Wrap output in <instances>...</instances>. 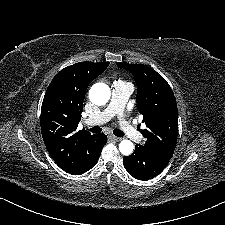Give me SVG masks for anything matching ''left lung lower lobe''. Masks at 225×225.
I'll return each mask as SVG.
<instances>
[{
	"instance_id": "left-lung-lower-lobe-1",
	"label": "left lung lower lobe",
	"mask_w": 225,
	"mask_h": 225,
	"mask_svg": "<svg viewBox=\"0 0 225 225\" xmlns=\"http://www.w3.org/2000/svg\"><path fill=\"white\" fill-rule=\"evenodd\" d=\"M170 159L137 144L133 154L124 157V167L132 177L144 181L159 175Z\"/></svg>"
}]
</instances>
